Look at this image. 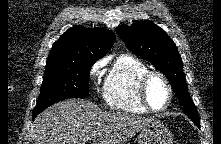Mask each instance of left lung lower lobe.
Returning <instances> with one entry per match:
<instances>
[{"instance_id": "0a47b994", "label": "left lung lower lobe", "mask_w": 221, "mask_h": 144, "mask_svg": "<svg viewBox=\"0 0 221 144\" xmlns=\"http://www.w3.org/2000/svg\"><path fill=\"white\" fill-rule=\"evenodd\" d=\"M198 127H200V122H194Z\"/></svg>"}]
</instances>
